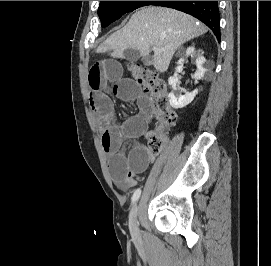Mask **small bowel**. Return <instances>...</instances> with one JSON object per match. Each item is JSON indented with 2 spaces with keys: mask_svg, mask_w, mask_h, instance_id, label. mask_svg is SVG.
Returning <instances> with one entry per match:
<instances>
[{
  "mask_svg": "<svg viewBox=\"0 0 271 266\" xmlns=\"http://www.w3.org/2000/svg\"><path fill=\"white\" fill-rule=\"evenodd\" d=\"M89 104L96 115L101 132V143L109 155V170L114 184L120 189H130L141 179L154 155L144 144L138 143L125 153L122 144L128 139L149 137L148 100L139 87L123 77V68L116 60L95 63L89 70ZM113 97L123 101H136L140 111L120 124L114 120Z\"/></svg>",
  "mask_w": 271,
  "mask_h": 266,
  "instance_id": "c3829d8e",
  "label": "small bowel"
}]
</instances>
